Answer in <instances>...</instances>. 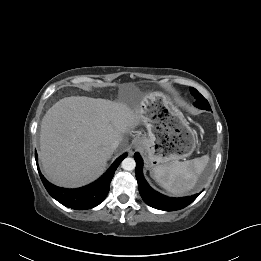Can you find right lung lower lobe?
I'll return each instance as SVG.
<instances>
[{"label": "right lung lower lobe", "mask_w": 261, "mask_h": 261, "mask_svg": "<svg viewBox=\"0 0 261 261\" xmlns=\"http://www.w3.org/2000/svg\"><path fill=\"white\" fill-rule=\"evenodd\" d=\"M35 155L37 162V154ZM126 156L127 154L125 153L117 158L108 171L97 181L78 189H64L57 187L49 183L40 173L39 169L38 171L46 190L58 202L73 209H91L99 205L106 198L114 172Z\"/></svg>", "instance_id": "1"}]
</instances>
